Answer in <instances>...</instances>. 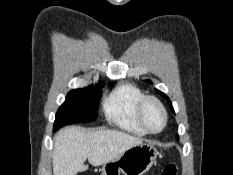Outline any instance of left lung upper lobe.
I'll use <instances>...</instances> for the list:
<instances>
[{
  "instance_id": "left-lung-upper-lobe-1",
  "label": "left lung upper lobe",
  "mask_w": 233,
  "mask_h": 175,
  "mask_svg": "<svg viewBox=\"0 0 233 175\" xmlns=\"http://www.w3.org/2000/svg\"><path fill=\"white\" fill-rule=\"evenodd\" d=\"M148 83H150L151 81L150 80H146ZM159 94H161L164 98H166L167 100H168V103H169V105H170V107H171V109H172V111L174 112V109H173V107H172V103H171V101L169 100V98L167 97V95H165L164 93H162L161 91H158V90H156Z\"/></svg>"
}]
</instances>
